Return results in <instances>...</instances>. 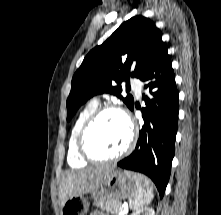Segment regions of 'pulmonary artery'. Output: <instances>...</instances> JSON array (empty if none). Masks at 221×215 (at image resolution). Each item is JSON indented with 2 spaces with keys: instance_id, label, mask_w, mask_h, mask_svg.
<instances>
[{
  "instance_id": "e3ab8cb5",
  "label": "pulmonary artery",
  "mask_w": 221,
  "mask_h": 215,
  "mask_svg": "<svg viewBox=\"0 0 221 215\" xmlns=\"http://www.w3.org/2000/svg\"><path fill=\"white\" fill-rule=\"evenodd\" d=\"M132 86H133L136 94L139 96L141 93L142 83L138 79H133Z\"/></svg>"
}]
</instances>
